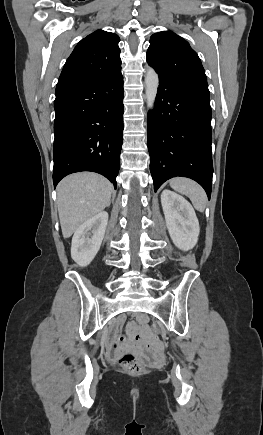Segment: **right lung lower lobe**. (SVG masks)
<instances>
[{"label":"right lung lower lobe","instance_id":"right-lung-lower-lobe-1","mask_svg":"<svg viewBox=\"0 0 263 435\" xmlns=\"http://www.w3.org/2000/svg\"><path fill=\"white\" fill-rule=\"evenodd\" d=\"M54 186L68 174L92 171L117 187L123 142L121 69L55 92Z\"/></svg>","mask_w":263,"mask_h":435}]
</instances>
